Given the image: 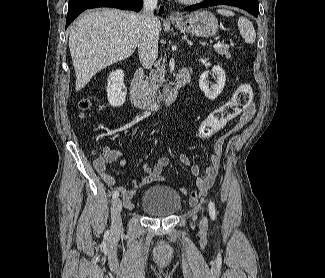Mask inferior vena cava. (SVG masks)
<instances>
[{"label": "inferior vena cava", "mask_w": 325, "mask_h": 278, "mask_svg": "<svg viewBox=\"0 0 325 278\" xmlns=\"http://www.w3.org/2000/svg\"><path fill=\"white\" fill-rule=\"evenodd\" d=\"M158 0H144L141 15L140 37L138 42L139 58L142 65L149 69L158 55L159 30L154 10Z\"/></svg>", "instance_id": "1"}]
</instances>
